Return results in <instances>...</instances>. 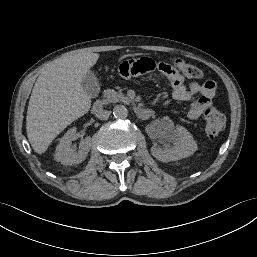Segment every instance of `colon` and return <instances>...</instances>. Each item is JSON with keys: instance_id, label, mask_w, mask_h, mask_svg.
<instances>
[{"instance_id": "1", "label": "colon", "mask_w": 257, "mask_h": 257, "mask_svg": "<svg viewBox=\"0 0 257 257\" xmlns=\"http://www.w3.org/2000/svg\"><path fill=\"white\" fill-rule=\"evenodd\" d=\"M171 65L173 68L179 69L185 75V79H196L202 76V72L200 69L181 59L173 61ZM224 126V116L219 110H217L216 108H210L206 111L205 129L207 135L210 138H216L223 131Z\"/></svg>"}]
</instances>
